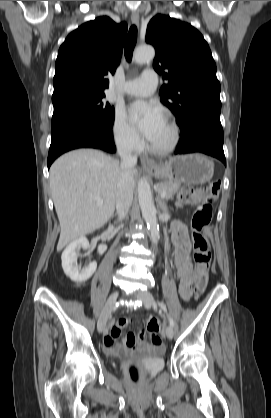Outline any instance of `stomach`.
I'll use <instances>...</instances> for the list:
<instances>
[{"mask_svg": "<svg viewBox=\"0 0 271 418\" xmlns=\"http://www.w3.org/2000/svg\"><path fill=\"white\" fill-rule=\"evenodd\" d=\"M150 172L157 179L200 185L211 180L214 164L203 155L188 154L157 164Z\"/></svg>", "mask_w": 271, "mask_h": 418, "instance_id": "stomach-1", "label": "stomach"}]
</instances>
